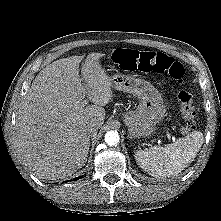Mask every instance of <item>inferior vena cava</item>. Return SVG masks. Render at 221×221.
<instances>
[{"mask_svg":"<svg viewBox=\"0 0 221 221\" xmlns=\"http://www.w3.org/2000/svg\"><path fill=\"white\" fill-rule=\"evenodd\" d=\"M98 128H99L98 124L94 123V122L87 125V131L90 136L95 134L97 132Z\"/></svg>","mask_w":221,"mask_h":221,"instance_id":"inferior-vena-cava-1","label":"inferior vena cava"}]
</instances>
